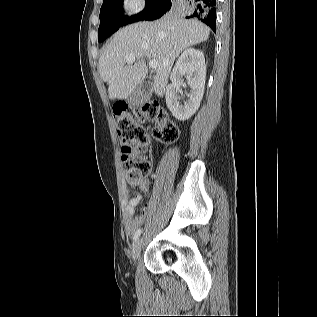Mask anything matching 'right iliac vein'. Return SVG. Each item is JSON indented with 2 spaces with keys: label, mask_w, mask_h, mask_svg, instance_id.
Instances as JSON below:
<instances>
[{
  "label": "right iliac vein",
  "mask_w": 317,
  "mask_h": 317,
  "mask_svg": "<svg viewBox=\"0 0 317 317\" xmlns=\"http://www.w3.org/2000/svg\"><path fill=\"white\" fill-rule=\"evenodd\" d=\"M141 250H142V239H138L135 241L133 248H132V252H131L132 261L134 263L138 259L139 255L141 253Z\"/></svg>",
  "instance_id": "63e3f726"
}]
</instances>
